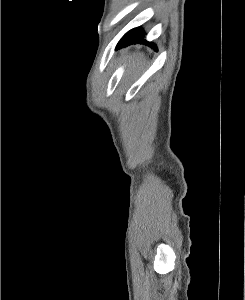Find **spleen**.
<instances>
[{
    "label": "spleen",
    "mask_w": 245,
    "mask_h": 300,
    "mask_svg": "<svg viewBox=\"0 0 245 300\" xmlns=\"http://www.w3.org/2000/svg\"><path fill=\"white\" fill-rule=\"evenodd\" d=\"M143 60H144V55H141L139 61H143Z\"/></svg>",
    "instance_id": "1"
}]
</instances>
